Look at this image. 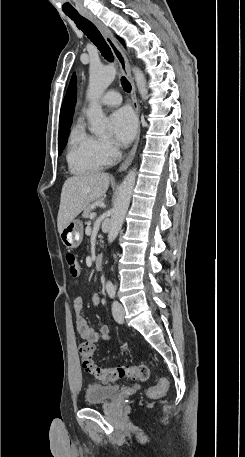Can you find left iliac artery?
I'll use <instances>...</instances> for the list:
<instances>
[{
	"label": "left iliac artery",
	"mask_w": 245,
	"mask_h": 457,
	"mask_svg": "<svg viewBox=\"0 0 245 457\" xmlns=\"http://www.w3.org/2000/svg\"><path fill=\"white\" fill-rule=\"evenodd\" d=\"M106 290H107V293H108L110 298H114L115 297L116 287L114 285L106 286Z\"/></svg>",
	"instance_id": "1"
}]
</instances>
